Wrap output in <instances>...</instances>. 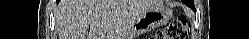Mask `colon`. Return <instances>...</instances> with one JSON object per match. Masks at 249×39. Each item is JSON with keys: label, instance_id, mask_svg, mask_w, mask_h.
<instances>
[{"label": "colon", "instance_id": "5ec220e1", "mask_svg": "<svg viewBox=\"0 0 249 39\" xmlns=\"http://www.w3.org/2000/svg\"><path fill=\"white\" fill-rule=\"evenodd\" d=\"M189 34L188 18L185 15H180L175 21L161 29L150 39H186L189 37Z\"/></svg>", "mask_w": 249, "mask_h": 39}]
</instances>
